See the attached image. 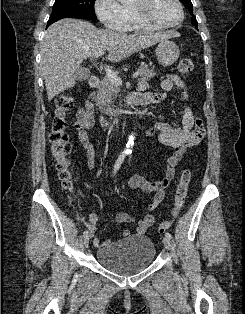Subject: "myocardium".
Here are the masks:
<instances>
[{"label": "myocardium", "instance_id": "myocardium-1", "mask_svg": "<svg viewBox=\"0 0 245 314\" xmlns=\"http://www.w3.org/2000/svg\"><path fill=\"white\" fill-rule=\"evenodd\" d=\"M174 1L179 7V10L181 12V18L176 23L166 24V23H160V22L155 21L149 14V7L152 0H140L141 5L139 7L132 6V10L134 12L136 19L144 25L153 27L155 29L173 28L180 25L184 21V18H185V10H184L183 4L181 3L180 0H174Z\"/></svg>", "mask_w": 245, "mask_h": 314}]
</instances>
